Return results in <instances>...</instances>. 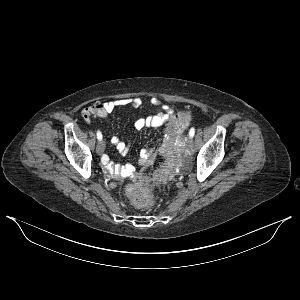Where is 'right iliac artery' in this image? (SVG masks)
<instances>
[{"label":"right iliac artery","mask_w":300,"mask_h":300,"mask_svg":"<svg viewBox=\"0 0 300 300\" xmlns=\"http://www.w3.org/2000/svg\"><path fill=\"white\" fill-rule=\"evenodd\" d=\"M97 138H98L99 141L102 140V134H101L100 131H97Z\"/></svg>","instance_id":"right-iliac-artery-1"}]
</instances>
